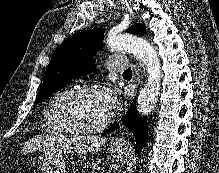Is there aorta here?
Wrapping results in <instances>:
<instances>
[{
    "instance_id": "762f6f07",
    "label": "aorta",
    "mask_w": 219,
    "mask_h": 173,
    "mask_svg": "<svg viewBox=\"0 0 219 173\" xmlns=\"http://www.w3.org/2000/svg\"><path fill=\"white\" fill-rule=\"evenodd\" d=\"M107 47L112 51H127L142 62L148 72V79L142 87L137 109L141 116H147L154 110L161 83V63L155 49L145 40L130 34L109 36Z\"/></svg>"
}]
</instances>
